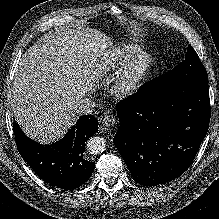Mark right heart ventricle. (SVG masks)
<instances>
[{
	"instance_id": "1",
	"label": "right heart ventricle",
	"mask_w": 219,
	"mask_h": 219,
	"mask_svg": "<svg viewBox=\"0 0 219 219\" xmlns=\"http://www.w3.org/2000/svg\"><path fill=\"white\" fill-rule=\"evenodd\" d=\"M140 53L136 46L121 45L113 49L96 68V75L100 79H108L127 61Z\"/></svg>"
}]
</instances>
